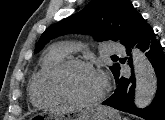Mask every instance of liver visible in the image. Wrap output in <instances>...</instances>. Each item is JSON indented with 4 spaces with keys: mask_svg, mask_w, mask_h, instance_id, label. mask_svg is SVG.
<instances>
[{
    "mask_svg": "<svg viewBox=\"0 0 165 120\" xmlns=\"http://www.w3.org/2000/svg\"><path fill=\"white\" fill-rule=\"evenodd\" d=\"M67 110H70V108L63 107V108L55 109V111H67Z\"/></svg>",
    "mask_w": 165,
    "mask_h": 120,
    "instance_id": "1",
    "label": "liver"
}]
</instances>
